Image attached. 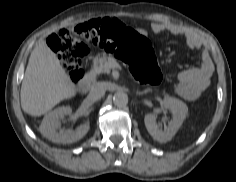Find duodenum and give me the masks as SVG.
I'll return each mask as SVG.
<instances>
[{"instance_id": "1", "label": "duodenum", "mask_w": 236, "mask_h": 182, "mask_svg": "<svg viewBox=\"0 0 236 182\" xmlns=\"http://www.w3.org/2000/svg\"><path fill=\"white\" fill-rule=\"evenodd\" d=\"M94 76L89 73L84 80H82L78 85V90L81 94L87 93L94 83Z\"/></svg>"}]
</instances>
